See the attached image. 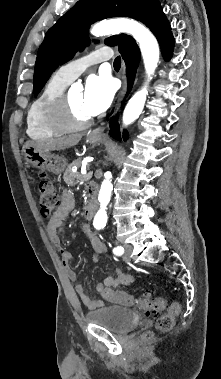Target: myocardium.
<instances>
[{
	"instance_id": "myocardium-1",
	"label": "myocardium",
	"mask_w": 221,
	"mask_h": 379,
	"mask_svg": "<svg viewBox=\"0 0 221 379\" xmlns=\"http://www.w3.org/2000/svg\"><path fill=\"white\" fill-rule=\"evenodd\" d=\"M49 121L58 129L72 131L88 127L92 123V118H77L70 105L68 94L63 92L49 109Z\"/></svg>"
}]
</instances>
